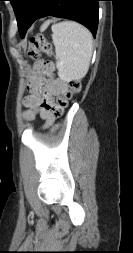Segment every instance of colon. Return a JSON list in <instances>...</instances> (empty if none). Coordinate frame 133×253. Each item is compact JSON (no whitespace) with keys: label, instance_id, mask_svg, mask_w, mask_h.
Here are the masks:
<instances>
[{"label":"colon","instance_id":"colon-1","mask_svg":"<svg viewBox=\"0 0 133 253\" xmlns=\"http://www.w3.org/2000/svg\"><path fill=\"white\" fill-rule=\"evenodd\" d=\"M51 54L52 53V45L51 43L42 35H38L33 37L27 48V54L31 58H36L40 55V53ZM68 83V91L65 95L60 97L53 111L55 114L60 115L65 108H67L69 101L72 97L78 94L81 91V83L78 80H74V78H67Z\"/></svg>","mask_w":133,"mask_h":253}]
</instances>
